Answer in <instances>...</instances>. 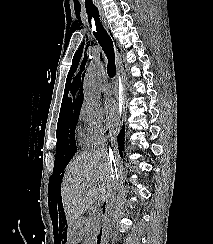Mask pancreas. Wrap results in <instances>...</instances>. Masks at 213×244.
Returning <instances> with one entry per match:
<instances>
[{"label":"pancreas","mask_w":213,"mask_h":244,"mask_svg":"<svg viewBox=\"0 0 213 244\" xmlns=\"http://www.w3.org/2000/svg\"><path fill=\"white\" fill-rule=\"evenodd\" d=\"M98 230V221L91 219L89 222H84V226L82 227V234L88 241H90L96 237Z\"/></svg>","instance_id":"cf45deb5"}]
</instances>
